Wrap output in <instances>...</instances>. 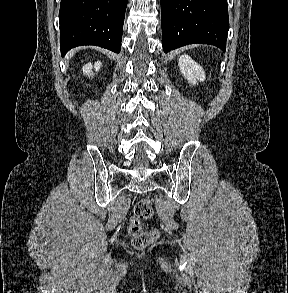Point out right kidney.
Listing matches in <instances>:
<instances>
[{
  "instance_id": "ca27d5eb",
  "label": "right kidney",
  "mask_w": 288,
  "mask_h": 293,
  "mask_svg": "<svg viewBox=\"0 0 288 293\" xmlns=\"http://www.w3.org/2000/svg\"><path fill=\"white\" fill-rule=\"evenodd\" d=\"M95 69V71H99L100 67H101V62L100 61H97L94 66L91 64V63H88L86 64L84 67H83V73L85 75H92V69Z\"/></svg>"
}]
</instances>
